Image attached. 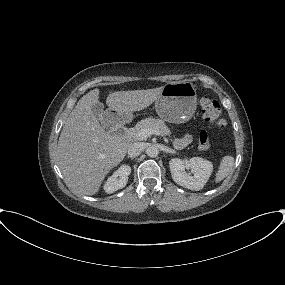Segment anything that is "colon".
<instances>
[{
	"mask_svg": "<svg viewBox=\"0 0 285 285\" xmlns=\"http://www.w3.org/2000/svg\"><path fill=\"white\" fill-rule=\"evenodd\" d=\"M203 119L211 127H222L225 121L221 118V108L217 100L210 97H202L199 101ZM198 146L201 150L210 148L209 136L207 131L203 130L199 134Z\"/></svg>",
	"mask_w": 285,
	"mask_h": 285,
	"instance_id": "obj_1",
	"label": "colon"
}]
</instances>
